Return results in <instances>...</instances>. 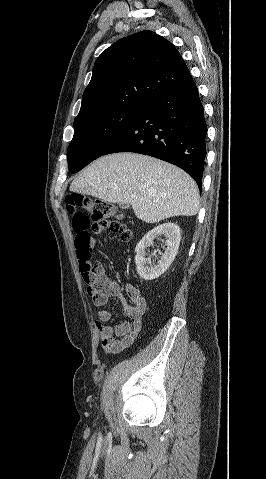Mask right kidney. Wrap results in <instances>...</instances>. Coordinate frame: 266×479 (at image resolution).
Returning a JSON list of instances; mask_svg holds the SVG:
<instances>
[{
  "instance_id": "ca27d5eb",
  "label": "right kidney",
  "mask_w": 266,
  "mask_h": 479,
  "mask_svg": "<svg viewBox=\"0 0 266 479\" xmlns=\"http://www.w3.org/2000/svg\"><path fill=\"white\" fill-rule=\"evenodd\" d=\"M164 235L166 249L156 265L148 266L149 259L145 258V250L153 244L156 237ZM181 240V230L175 223L161 224L149 231L135 248L136 270L139 276L146 280H153L161 276L174 261Z\"/></svg>"
}]
</instances>
